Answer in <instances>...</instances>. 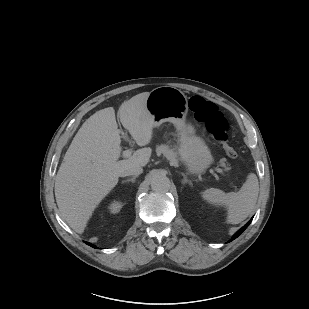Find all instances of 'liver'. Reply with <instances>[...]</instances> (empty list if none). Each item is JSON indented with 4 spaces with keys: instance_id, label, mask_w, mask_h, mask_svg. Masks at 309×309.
Wrapping results in <instances>:
<instances>
[{
    "instance_id": "liver-1",
    "label": "liver",
    "mask_w": 309,
    "mask_h": 309,
    "mask_svg": "<svg viewBox=\"0 0 309 309\" xmlns=\"http://www.w3.org/2000/svg\"><path fill=\"white\" fill-rule=\"evenodd\" d=\"M149 92L133 96L118 111L122 126L138 146L151 142L153 120L146 110ZM121 130L115 110L108 107L88 118L70 144L55 179V197L62 218L82 234L99 203L117 185L120 173L144 167L152 150L142 148L125 160L121 156Z\"/></svg>"
}]
</instances>
